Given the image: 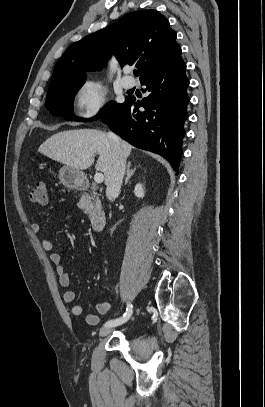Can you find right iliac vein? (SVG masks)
Listing matches in <instances>:
<instances>
[{
  "label": "right iliac vein",
  "mask_w": 265,
  "mask_h": 407,
  "mask_svg": "<svg viewBox=\"0 0 265 407\" xmlns=\"http://www.w3.org/2000/svg\"><path fill=\"white\" fill-rule=\"evenodd\" d=\"M112 331H113V328H111V327H103L100 330L99 334H100V336L105 337V336L109 335Z\"/></svg>",
  "instance_id": "obj_1"
}]
</instances>
